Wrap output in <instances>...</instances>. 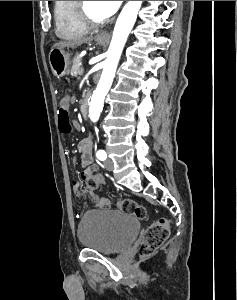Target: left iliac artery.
Here are the masks:
<instances>
[{
  "label": "left iliac artery",
  "mask_w": 237,
  "mask_h": 300,
  "mask_svg": "<svg viewBox=\"0 0 237 300\" xmlns=\"http://www.w3.org/2000/svg\"><path fill=\"white\" fill-rule=\"evenodd\" d=\"M96 156L99 160L104 161L107 158V154L104 150H98Z\"/></svg>",
  "instance_id": "obj_1"
}]
</instances>
